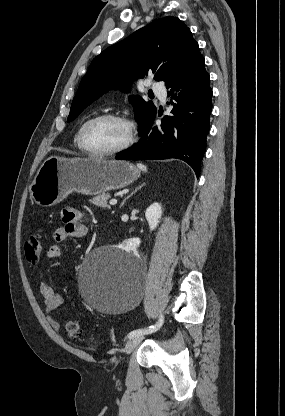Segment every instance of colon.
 I'll use <instances>...</instances> for the list:
<instances>
[{"label":"colon","instance_id":"colon-1","mask_svg":"<svg viewBox=\"0 0 285 416\" xmlns=\"http://www.w3.org/2000/svg\"><path fill=\"white\" fill-rule=\"evenodd\" d=\"M24 250L26 259L30 263H36L42 254V244L36 235H30L25 239ZM66 331L70 339L79 341L82 339V330L77 321H69Z\"/></svg>","mask_w":285,"mask_h":416}]
</instances>
